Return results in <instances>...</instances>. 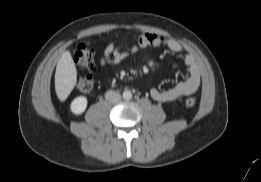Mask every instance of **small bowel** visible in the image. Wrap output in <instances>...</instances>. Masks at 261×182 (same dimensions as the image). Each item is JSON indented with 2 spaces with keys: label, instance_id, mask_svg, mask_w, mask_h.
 I'll use <instances>...</instances> for the list:
<instances>
[{
  "label": "small bowel",
  "instance_id": "obj_1",
  "mask_svg": "<svg viewBox=\"0 0 261 182\" xmlns=\"http://www.w3.org/2000/svg\"><path fill=\"white\" fill-rule=\"evenodd\" d=\"M148 47H164L177 54H181L184 51L183 46L175 39L147 33L139 36L131 48V53ZM129 54L130 52L124 51L114 42H110L99 59V66L101 69H104L107 65H118L123 62ZM183 65L188 70L187 78L167 90L151 89L150 95L155 101H173L181 96L193 94L198 90L201 84V73L196 59L191 54H185L183 57ZM173 68H178V65H174Z\"/></svg>",
  "mask_w": 261,
  "mask_h": 182
}]
</instances>
